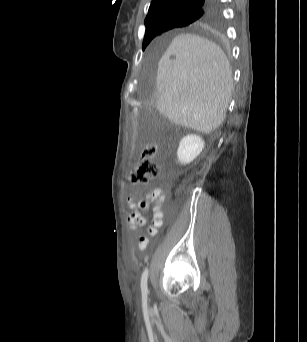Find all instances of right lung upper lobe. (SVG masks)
Listing matches in <instances>:
<instances>
[{"mask_svg": "<svg viewBox=\"0 0 307 342\" xmlns=\"http://www.w3.org/2000/svg\"><path fill=\"white\" fill-rule=\"evenodd\" d=\"M218 3L214 0H152L145 26L150 27L157 16L163 12L183 9H198L202 11L201 16L189 24V27L198 32L212 33L218 19ZM188 26V25H187Z\"/></svg>", "mask_w": 307, "mask_h": 342, "instance_id": "right-lung-upper-lobe-1", "label": "right lung upper lobe"}]
</instances>
